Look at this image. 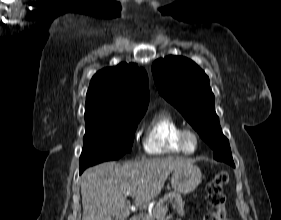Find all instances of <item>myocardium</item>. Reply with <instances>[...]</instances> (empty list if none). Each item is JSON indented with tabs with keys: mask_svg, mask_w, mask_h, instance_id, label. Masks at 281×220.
Instances as JSON below:
<instances>
[{
	"mask_svg": "<svg viewBox=\"0 0 281 220\" xmlns=\"http://www.w3.org/2000/svg\"><path fill=\"white\" fill-rule=\"evenodd\" d=\"M190 139L194 141V146L192 148H190L188 144ZM179 143L186 153L193 154L199 148L200 138L195 130L191 128H182L179 133Z\"/></svg>",
	"mask_w": 281,
	"mask_h": 220,
	"instance_id": "1",
	"label": "myocardium"
}]
</instances>
